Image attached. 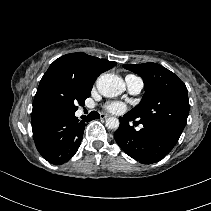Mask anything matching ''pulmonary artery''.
<instances>
[{"label": "pulmonary artery", "mask_w": 211, "mask_h": 211, "mask_svg": "<svg viewBox=\"0 0 211 211\" xmlns=\"http://www.w3.org/2000/svg\"><path fill=\"white\" fill-rule=\"evenodd\" d=\"M125 81L131 94H138L143 88V81L137 76L128 75Z\"/></svg>", "instance_id": "e3ab8cb5"}]
</instances>
